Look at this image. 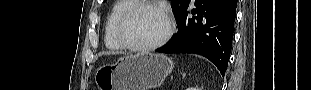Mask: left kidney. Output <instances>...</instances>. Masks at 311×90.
<instances>
[{
    "instance_id": "obj_1",
    "label": "left kidney",
    "mask_w": 311,
    "mask_h": 90,
    "mask_svg": "<svg viewBox=\"0 0 311 90\" xmlns=\"http://www.w3.org/2000/svg\"><path fill=\"white\" fill-rule=\"evenodd\" d=\"M187 90H196V88L191 87V88H187Z\"/></svg>"
}]
</instances>
